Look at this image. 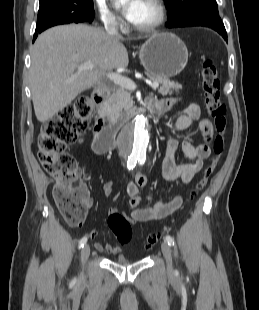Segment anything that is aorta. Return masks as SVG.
Masks as SVG:
<instances>
[{
  "label": "aorta",
  "mask_w": 259,
  "mask_h": 310,
  "mask_svg": "<svg viewBox=\"0 0 259 310\" xmlns=\"http://www.w3.org/2000/svg\"><path fill=\"white\" fill-rule=\"evenodd\" d=\"M128 0H121L127 2ZM149 143L148 120L144 115L137 116L120 136V148L127 156H144Z\"/></svg>",
  "instance_id": "obj_1"
}]
</instances>
